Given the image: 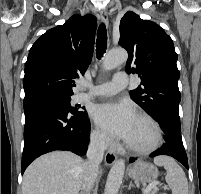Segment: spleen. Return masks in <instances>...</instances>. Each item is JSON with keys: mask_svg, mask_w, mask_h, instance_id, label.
<instances>
[{"mask_svg": "<svg viewBox=\"0 0 201 194\" xmlns=\"http://www.w3.org/2000/svg\"><path fill=\"white\" fill-rule=\"evenodd\" d=\"M154 163L165 168V179L172 194H188L187 178L183 169L174 159L168 156H158L154 158Z\"/></svg>", "mask_w": 201, "mask_h": 194, "instance_id": "3e777b00", "label": "spleen"}]
</instances>
